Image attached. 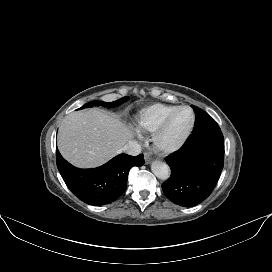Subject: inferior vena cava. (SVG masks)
I'll return each mask as SVG.
<instances>
[{
    "mask_svg": "<svg viewBox=\"0 0 272 272\" xmlns=\"http://www.w3.org/2000/svg\"><path fill=\"white\" fill-rule=\"evenodd\" d=\"M141 151H142L141 145L136 141H129L120 149V152L133 156L140 154Z\"/></svg>",
    "mask_w": 272,
    "mask_h": 272,
    "instance_id": "inferior-vena-cava-1",
    "label": "inferior vena cava"
}]
</instances>
